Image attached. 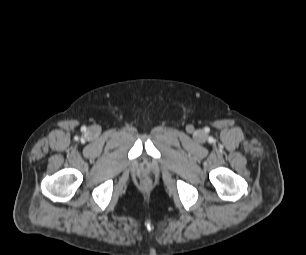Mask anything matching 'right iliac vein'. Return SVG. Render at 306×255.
<instances>
[{
    "mask_svg": "<svg viewBox=\"0 0 306 255\" xmlns=\"http://www.w3.org/2000/svg\"><path fill=\"white\" fill-rule=\"evenodd\" d=\"M92 132H93V133H96L97 131H96V129H93Z\"/></svg>",
    "mask_w": 306,
    "mask_h": 255,
    "instance_id": "63e3f726",
    "label": "right iliac vein"
}]
</instances>
